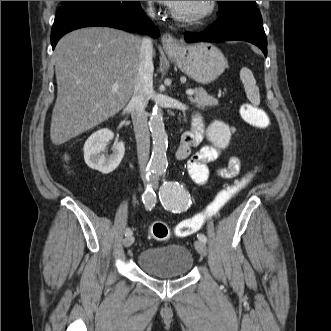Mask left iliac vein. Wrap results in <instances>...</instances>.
<instances>
[{"mask_svg": "<svg viewBox=\"0 0 331 331\" xmlns=\"http://www.w3.org/2000/svg\"><path fill=\"white\" fill-rule=\"evenodd\" d=\"M153 186L156 188L157 187V179L152 180ZM195 249L198 251V253L202 256L207 255V248L204 242L201 240H197L194 242Z\"/></svg>", "mask_w": 331, "mask_h": 331, "instance_id": "obj_1", "label": "left iliac vein"}]
</instances>
